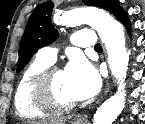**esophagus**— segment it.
Instances as JSON below:
<instances>
[{
    "mask_svg": "<svg viewBox=\"0 0 145 124\" xmlns=\"http://www.w3.org/2000/svg\"><path fill=\"white\" fill-rule=\"evenodd\" d=\"M109 82L106 83V86L104 88V91H103V97L107 95L108 91H109ZM78 123H85L88 119H87V116L86 115H82V116H78L77 119Z\"/></svg>",
    "mask_w": 145,
    "mask_h": 124,
    "instance_id": "34e87169",
    "label": "esophagus"
}]
</instances>
